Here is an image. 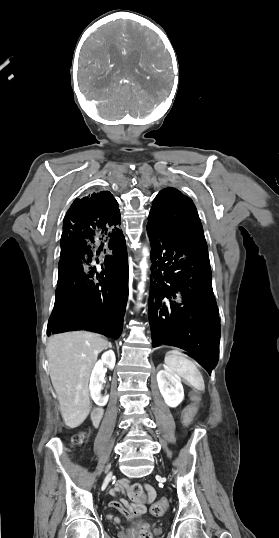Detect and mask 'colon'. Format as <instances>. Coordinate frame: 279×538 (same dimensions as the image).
Listing matches in <instances>:
<instances>
[{
    "instance_id": "5ec220e1",
    "label": "colon",
    "mask_w": 279,
    "mask_h": 538,
    "mask_svg": "<svg viewBox=\"0 0 279 538\" xmlns=\"http://www.w3.org/2000/svg\"><path fill=\"white\" fill-rule=\"evenodd\" d=\"M186 423L187 424L190 423V418L187 419ZM83 440H84V435L78 434V435L73 437L72 442H73V444H80V443L83 442ZM131 492H132L133 496L140 497L142 495V488H141L140 485L135 484V485L132 486ZM167 509H168V501H167V499L160 498L152 506V513L155 516H163L166 513ZM137 535L139 537H141V538H150V536H149V534H148L145 527H142V528L138 529Z\"/></svg>"
}]
</instances>
